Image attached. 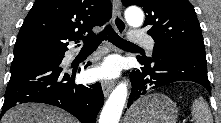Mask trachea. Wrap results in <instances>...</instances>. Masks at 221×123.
Returning <instances> with one entry per match:
<instances>
[{"mask_svg": "<svg viewBox=\"0 0 221 123\" xmlns=\"http://www.w3.org/2000/svg\"><path fill=\"white\" fill-rule=\"evenodd\" d=\"M108 39L111 43L118 47H134L136 46L135 44L124 40L121 38L111 27V25H107L105 29L99 33L98 35L91 36V37H85L81 36L80 39L83 40L84 47L87 48H97L100 43L104 39Z\"/></svg>", "mask_w": 221, "mask_h": 123, "instance_id": "trachea-1", "label": "trachea"}]
</instances>
